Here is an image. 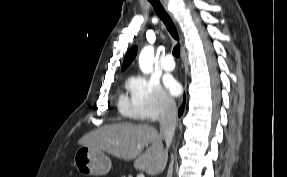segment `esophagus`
<instances>
[{"instance_id":"34e87169","label":"esophagus","mask_w":287,"mask_h":177,"mask_svg":"<svg viewBox=\"0 0 287 177\" xmlns=\"http://www.w3.org/2000/svg\"><path fill=\"white\" fill-rule=\"evenodd\" d=\"M160 2H161V4H162V6L164 7V9L166 10V12H167L170 16H172V14H171V12H170V10H169V8H168V0H160Z\"/></svg>"}]
</instances>
